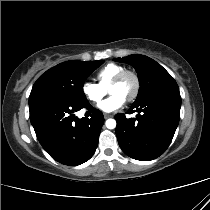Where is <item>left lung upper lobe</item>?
Here are the masks:
<instances>
[{"instance_id":"left-lung-upper-lobe-1","label":"left lung upper lobe","mask_w":210,"mask_h":210,"mask_svg":"<svg viewBox=\"0 0 210 210\" xmlns=\"http://www.w3.org/2000/svg\"><path fill=\"white\" fill-rule=\"evenodd\" d=\"M114 60L128 63L137 71L140 88L134 103L157 93L179 92L178 85L172 76L160 64L147 56L133 54Z\"/></svg>"}]
</instances>
